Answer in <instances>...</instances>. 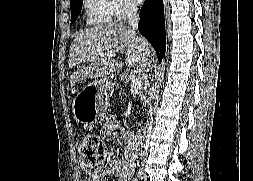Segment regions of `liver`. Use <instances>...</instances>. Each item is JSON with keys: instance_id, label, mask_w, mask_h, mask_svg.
<instances>
[{"instance_id": "liver-1", "label": "liver", "mask_w": 253, "mask_h": 181, "mask_svg": "<svg viewBox=\"0 0 253 181\" xmlns=\"http://www.w3.org/2000/svg\"><path fill=\"white\" fill-rule=\"evenodd\" d=\"M125 50L126 66L134 68L142 77L149 68L154 52L144 38L136 36L134 29L122 23H107L81 31L71 44L68 65L70 68L85 63L88 65L78 67L71 75V86L86 78L97 79L113 75L123 67L122 58L101 57L100 54L120 55Z\"/></svg>"}]
</instances>
